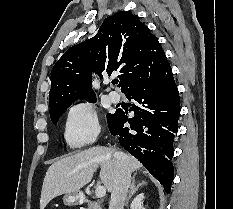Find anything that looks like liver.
I'll return each mask as SVG.
<instances>
[{
  "mask_svg": "<svg viewBox=\"0 0 233 209\" xmlns=\"http://www.w3.org/2000/svg\"><path fill=\"white\" fill-rule=\"evenodd\" d=\"M115 150L108 147H92L54 162L47 170L40 198V209H44L55 197L78 192L88 184L98 167L100 180L105 188L112 192L116 160ZM131 172L141 168L140 162L125 154Z\"/></svg>",
  "mask_w": 233,
  "mask_h": 209,
  "instance_id": "liver-1",
  "label": "liver"
}]
</instances>
